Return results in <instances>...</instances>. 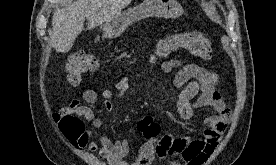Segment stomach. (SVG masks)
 I'll return each mask as SVG.
<instances>
[{
	"mask_svg": "<svg viewBox=\"0 0 276 165\" xmlns=\"http://www.w3.org/2000/svg\"><path fill=\"white\" fill-rule=\"evenodd\" d=\"M182 14L183 8L176 0H144L140 5L121 12L105 23L102 28L103 35L107 38H115L135 21L148 17L175 19Z\"/></svg>",
	"mask_w": 276,
	"mask_h": 165,
	"instance_id": "stomach-1",
	"label": "stomach"
}]
</instances>
